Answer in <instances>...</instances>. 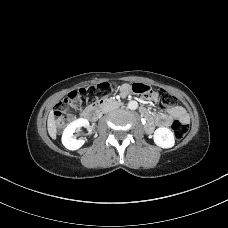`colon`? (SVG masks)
I'll return each instance as SVG.
<instances>
[{
    "label": "colon",
    "mask_w": 228,
    "mask_h": 228,
    "mask_svg": "<svg viewBox=\"0 0 228 228\" xmlns=\"http://www.w3.org/2000/svg\"><path fill=\"white\" fill-rule=\"evenodd\" d=\"M114 85V83L103 82L96 86L81 88L69 93L67 97L59 102L53 113L55 124L58 127L67 125L71 119L72 112L76 107H82L91 103L97 96H101L112 89ZM131 88L134 93L139 95L148 97L152 94V89L143 83H134ZM158 96V104L161 109H169L175 106L176 98L165 90H160ZM172 130L177 139H183L188 133V126L185 123L176 120L172 124Z\"/></svg>",
    "instance_id": "obj_1"
}]
</instances>
